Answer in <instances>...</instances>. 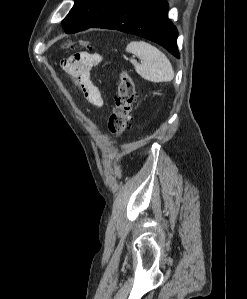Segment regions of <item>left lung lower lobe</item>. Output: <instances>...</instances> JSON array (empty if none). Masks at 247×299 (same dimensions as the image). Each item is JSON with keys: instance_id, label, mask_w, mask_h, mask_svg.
Here are the masks:
<instances>
[{"instance_id": "obj_1", "label": "left lung lower lobe", "mask_w": 247, "mask_h": 299, "mask_svg": "<svg viewBox=\"0 0 247 299\" xmlns=\"http://www.w3.org/2000/svg\"><path fill=\"white\" fill-rule=\"evenodd\" d=\"M166 0H124L91 27L119 30L154 41L175 57L178 31L168 19Z\"/></svg>"}]
</instances>
